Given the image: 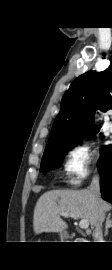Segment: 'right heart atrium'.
<instances>
[{
    "mask_svg": "<svg viewBox=\"0 0 112 270\" xmlns=\"http://www.w3.org/2000/svg\"><path fill=\"white\" fill-rule=\"evenodd\" d=\"M96 150L84 141L77 142L69 147L65 153L62 168L67 182L71 185H79L94 168Z\"/></svg>",
    "mask_w": 112,
    "mask_h": 270,
    "instance_id": "obj_1",
    "label": "right heart atrium"
}]
</instances>
